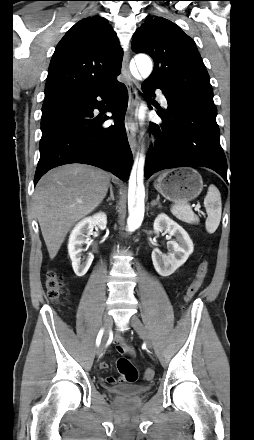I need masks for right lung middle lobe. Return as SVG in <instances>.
<instances>
[{
    "label": "right lung middle lobe",
    "instance_id": "right-lung-middle-lobe-1",
    "mask_svg": "<svg viewBox=\"0 0 254 440\" xmlns=\"http://www.w3.org/2000/svg\"><path fill=\"white\" fill-rule=\"evenodd\" d=\"M64 99L63 94L45 99L42 106V119L49 116Z\"/></svg>",
    "mask_w": 254,
    "mask_h": 440
}]
</instances>
